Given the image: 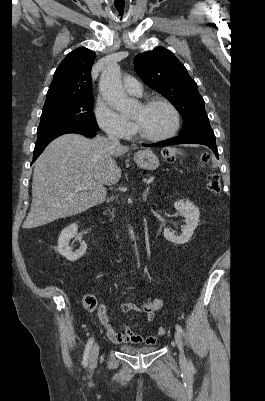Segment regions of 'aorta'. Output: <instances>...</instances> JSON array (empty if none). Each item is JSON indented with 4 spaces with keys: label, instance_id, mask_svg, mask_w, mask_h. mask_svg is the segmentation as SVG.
Here are the masks:
<instances>
[{
    "label": "aorta",
    "instance_id": "obj_1",
    "mask_svg": "<svg viewBox=\"0 0 265 401\" xmlns=\"http://www.w3.org/2000/svg\"><path fill=\"white\" fill-rule=\"evenodd\" d=\"M99 86L103 98L115 110L126 112L130 108V100L122 88L119 64H111V66L102 70ZM128 231L130 239L134 241L135 233L132 227H128Z\"/></svg>",
    "mask_w": 265,
    "mask_h": 401
}]
</instances>
